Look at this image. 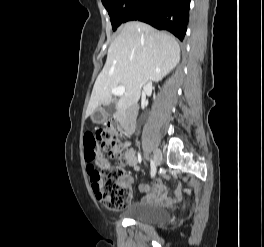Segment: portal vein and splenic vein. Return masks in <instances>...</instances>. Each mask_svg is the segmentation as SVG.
Returning a JSON list of instances; mask_svg holds the SVG:
<instances>
[{
    "label": "portal vein and splenic vein",
    "mask_w": 264,
    "mask_h": 247,
    "mask_svg": "<svg viewBox=\"0 0 264 247\" xmlns=\"http://www.w3.org/2000/svg\"><path fill=\"white\" fill-rule=\"evenodd\" d=\"M124 92H125V87L122 85L112 88V94H114L115 96H122Z\"/></svg>",
    "instance_id": "18ae733b"
}]
</instances>
